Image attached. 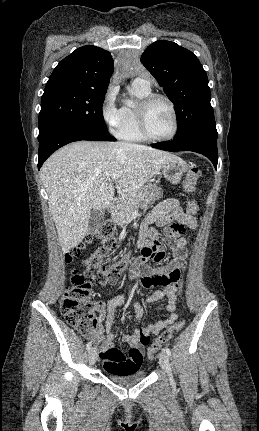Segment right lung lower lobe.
Masks as SVG:
<instances>
[{"label": "right lung lower lobe", "mask_w": 259, "mask_h": 431, "mask_svg": "<svg viewBox=\"0 0 259 431\" xmlns=\"http://www.w3.org/2000/svg\"><path fill=\"white\" fill-rule=\"evenodd\" d=\"M115 141L108 131H99L74 123L52 125L39 134L38 169L44 161L60 147L73 141Z\"/></svg>", "instance_id": "1"}]
</instances>
